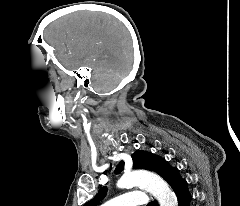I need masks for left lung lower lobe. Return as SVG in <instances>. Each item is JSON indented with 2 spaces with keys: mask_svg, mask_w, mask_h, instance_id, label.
Returning a JSON list of instances; mask_svg holds the SVG:
<instances>
[{
  "mask_svg": "<svg viewBox=\"0 0 240 206\" xmlns=\"http://www.w3.org/2000/svg\"><path fill=\"white\" fill-rule=\"evenodd\" d=\"M163 178L173 188V190L177 196L179 206H190L192 197L188 190V184H187L186 180H184L180 176L179 170L177 168L170 166L166 170ZM154 206H158V204L155 202Z\"/></svg>",
  "mask_w": 240,
  "mask_h": 206,
  "instance_id": "0a47b994",
  "label": "left lung lower lobe"
}]
</instances>
